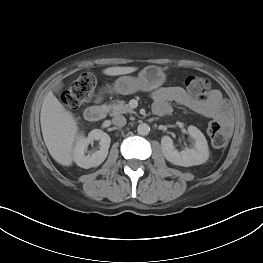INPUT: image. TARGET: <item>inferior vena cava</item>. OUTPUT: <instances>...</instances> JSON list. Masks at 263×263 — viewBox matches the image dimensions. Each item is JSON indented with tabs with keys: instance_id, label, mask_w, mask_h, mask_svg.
Masks as SVG:
<instances>
[{
	"instance_id": "inferior-vena-cava-1",
	"label": "inferior vena cava",
	"mask_w": 263,
	"mask_h": 263,
	"mask_svg": "<svg viewBox=\"0 0 263 263\" xmlns=\"http://www.w3.org/2000/svg\"><path fill=\"white\" fill-rule=\"evenodd\" d=\"M112 122L116 126L123 127L127 121L123 115H116L112 118Z\"/></svg>"
}]
</instances>
